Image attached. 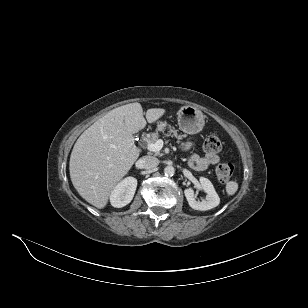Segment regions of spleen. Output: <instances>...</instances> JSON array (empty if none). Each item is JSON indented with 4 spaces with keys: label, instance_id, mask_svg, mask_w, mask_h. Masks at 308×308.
I'll return each instance as SVG.
<instances>
[{
    "label": "spleen",
    "instance_id": "obj_1",
    "mask_svg": "<svg viewBox=\"0 0 308 308\" xmlns=\"http://www.w3.org/2000/svg\"><path fill=\"white\" fill-rule=\"evenodd\" d=\"M238 190V183L235 181H229L226 183V193L229 196H232L236 193V191Z\"/></svg>",
    "mask_w": 308,
    "mask_h": 308
}]
</instances>
